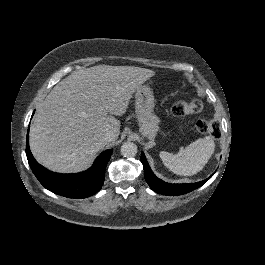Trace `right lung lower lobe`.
<instances>
[{
  "mask_svg": "<svg viewBox=\"0 0 265 265\" xmlns=\"http://www.w3.org/2000/svg\"><path fill=\"white\" fill-rule=\"evenodd\" d=\"M27 133L26 155L28 163L40 183L49 191L68 198H87L98 192L104 183L107 162L113 149L102 152L88 170L75 174H59L47 170L33 157L28 144Z\"/></svg>",
  "mask_w": 265,
  "mask_h": 265,
  "instance_id": "1",
  "label": "right lung lower lobe"
}]
</instances>
